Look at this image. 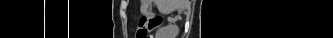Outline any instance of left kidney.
Wrapping results in <instances>:
<instances>
[{"label": "left kidney", "instance_id": "obj_1", "mask_svg": "<svg viewBox=\"0 0 333 38\" xmlns=\"http://www.w3.org/2000/svg\"><path fill=\"white\" fill-rule=\"evenodd\" d=\"M159 33L166 38H176L179 33L178 27L173 23L172 20H169V24L164 26Z\"/></svg>", "mask_w": 333, "mask_h": 38}]
</instances>
